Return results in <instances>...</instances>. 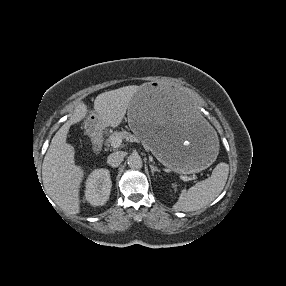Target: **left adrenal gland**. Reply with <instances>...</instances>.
Returning <instances> with one entry per match:
<instances>
[{"label": "left adrenal gland", "mask_w": 286, "mask_h": 286, "mask_svg": "<svg viewBox=\"0 0 286 286\" xmlns=\"http://www.w3.org/2000/svg\"><path fill=\"white\" fill-rule=\"evenodd\" d=\"M150 169H151V173H152L153 176H154V173H155V172H158V173L161 172L157 167H155V166L152 165V164H150Z\"/></svg>", "instance_id": "a2214340"}]
</instances>
